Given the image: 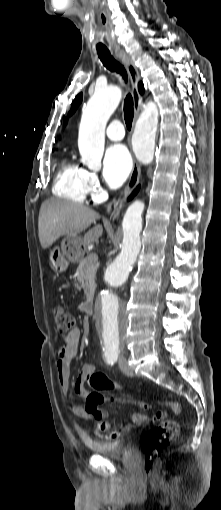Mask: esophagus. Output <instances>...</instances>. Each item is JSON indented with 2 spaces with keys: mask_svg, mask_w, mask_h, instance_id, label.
<instances>
[{
  "mask_svg": "<svg viewBox=\"0 0 221 510\" xmlns=\"http://www.w3.org/2000/svg\"><path fill=\"white\" fill-rule=\"evenodd\" d=\"M117 57L125 65L128 73H129L131 83H132V96H133L134 110H135V116H134V120H133V127H134L135 123L137 121V118L139 116V112H140L141 104H142V97L138 90L140 74H139V71H138L137 67L135 66L134 62L132 61V59L129 56H127L125 53L120 52L117 54ZM140 177H141V168H140L138 162L136 160H134L128 184L125 187L120 199L115 203L113 210L110 212V216H109L110 221H115L118 218L127 197L132 193V191L137 186V184L140 180Z\"/></svg>",
  "mask_w": 221,
  "mask_h": 510,
  "instance_id": "obj_1",
  "label": "esophagus"
}]
</instances>
